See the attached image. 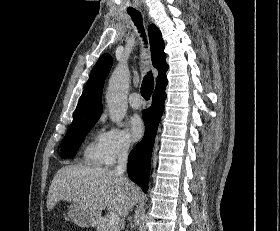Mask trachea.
I'll return each instance as SVG.
<instances>
[{
    "label": "trachea",
    "mask_w": 280,
    "mask_h": 231,
    "mask_svg": "<svg viewBox=\"0 0 280 231\" xmlns=\"http://www.w3.org/2000/svg\"><path fill=\"white\" fill-rule=\"evenodd\" d=\"M127 12L131 16L135 25L138 27L142 36L145 37L143 25H142V17L140 12H138L135 9L128 10ZM153 89H154V78L152 73L149 72L147 73V75H145L141 85V95L143 96V98H145V100H149V98L152 95Z\"/></svg>",
    "instance_id": "3493384b"
}]
</instances>
